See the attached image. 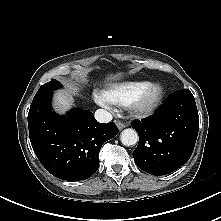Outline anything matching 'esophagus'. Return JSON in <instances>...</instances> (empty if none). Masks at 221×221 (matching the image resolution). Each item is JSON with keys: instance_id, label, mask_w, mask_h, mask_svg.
<instances>
[{"instance_id": "esophagus-1", "label": "esophagus", "mask_w": 221, "mask_h": 221, "mask_svg": "<svg viewBox=\"0 0 221 221\" xmlns=\"http://www.w3.org/2000/svg\"><path fill=\"white\" fill-rule=\"evenodd\" d=\"M116 126L118 127L119 130H122L123 128L126 127V124L121 121H116Z\"/></svg>"}]
</instances>
